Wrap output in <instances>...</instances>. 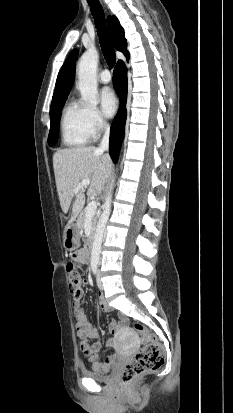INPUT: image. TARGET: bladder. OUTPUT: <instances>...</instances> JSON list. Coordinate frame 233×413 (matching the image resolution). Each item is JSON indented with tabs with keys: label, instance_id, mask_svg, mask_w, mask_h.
Masks as SVG:
<instances>
[{
	"label": "bladder",
	"instance_id": "31cf9c89",
	"mask_svg": "<svg viewBox=\"0 0 233 413\" xmlns=\"http://www.w3.org/2000/svg\"><path fill=\"white\" fill-rule=\"evenodd\" d=\"M82 375L96 382H103V383L109 382L113 376L112 373L110 372L101 373V372L88 371V370H83Z\"/></svg>",
	"mask_w": 233,
	"mask_h": 413
}]
</instances>
